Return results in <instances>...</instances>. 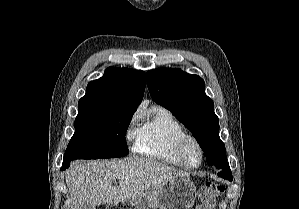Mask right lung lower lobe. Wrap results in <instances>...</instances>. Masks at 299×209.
I'll return each mask as SVG.
<instances>
[{"mask_svg":"<svg viewBox=\"0 0 299 209\" xmlns=\"http://www.w3.org/2000/svg\"><path fill=\"white\" fill-rule=\"evenodd\" d=\"M72 160H63V166L61 168V170H65L66 168H68L70 166V162Z\"/></svg>","mask_w":299,"mask_h":209,"instance_id":"obj_1","label":"right lung lower lobe"}]
</instances>
